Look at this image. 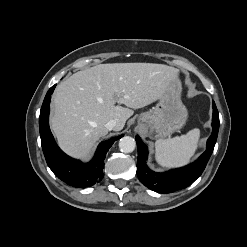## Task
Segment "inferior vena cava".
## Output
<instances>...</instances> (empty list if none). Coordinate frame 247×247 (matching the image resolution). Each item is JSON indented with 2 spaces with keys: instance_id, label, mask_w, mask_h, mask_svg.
Returning <instances> with one entry per match:
<instances>
[{
  "instance_id": "1",
  "label": "inferior vena cava",
  "mask_w": 247,
  "mask_h": 247,
  "mask_svg": "<svg viewBox=\"0 0 247 247\" xmlns=\"http://www.w3.org/2000/svg\"><path fill=\"white\" fill-rule=\"evenodd\" d=\"M105 127L111 131V130H115L117 128V121L116 120H109L106 124Z\"/></svg>"
}]
</instances>
